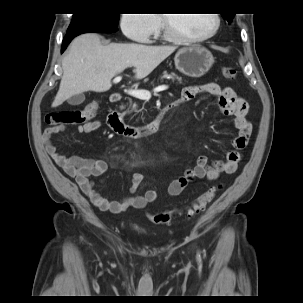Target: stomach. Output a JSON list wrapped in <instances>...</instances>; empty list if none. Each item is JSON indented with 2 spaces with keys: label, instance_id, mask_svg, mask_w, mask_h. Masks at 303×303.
<instances>
[{
  "label": "stomach",
  "instance_id": "0dacf381",
  "mask_svg": "<svg viewBox=\"0 0 303 303\" xmlns=\"http://www.w3.org/2000/svg\"><path fill=\"white\" fill-rule=\"evenodd\" d=\"M176 68L189 77H202L214 63V57L204 47L193 46L180 49L174 58Z\"/></svg>",
  "mask_w": 303,
  "mask_h": 303
}]
</instances>
